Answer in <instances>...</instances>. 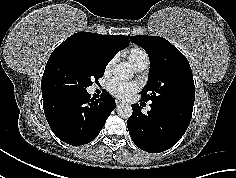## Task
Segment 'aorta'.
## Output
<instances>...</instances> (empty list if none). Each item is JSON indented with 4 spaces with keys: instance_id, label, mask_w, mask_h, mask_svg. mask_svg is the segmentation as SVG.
<instances>
[{
    "instance_id": "762f6f07",
    "label": "aorta",
    "mask_w": 236,
    "mask_h": 178,
    "mask_svg": "<svg viewBox=\"0 0 236 178\" xmlns=\"http://www.w3.org/2000/svg\"><path fill=\"white\" fill-rule=\"evenodd\" d=\"M113 74L117 80H125L132 78L133 76V72L130 67L123 63L117 64L114 67ZM132 112V107L129 104L122 103L117 106V114L121 118H129L132 115Z\"/></svg>"
}]
</instances>
